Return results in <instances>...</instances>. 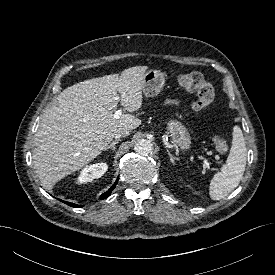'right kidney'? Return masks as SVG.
I'll return each mask as SVG.
<instances>
[{"label": "right kidney", "instance_id": "ca27d5eb", "mask_svg": "<svg viewBox=\"0 0 275 275\" xmlns=\"http://www.w3.org/2000/svg\"><path fill=\"white\" fill-rule=\"evenodd\" d=\"M107 169L108 165L103 162L87 166L80 172L78 182L87 183L93 181L94 179L100 178L105 174Z\"/></svg>", "mask_w": 275, "mask_h": 275}]
</instances>
